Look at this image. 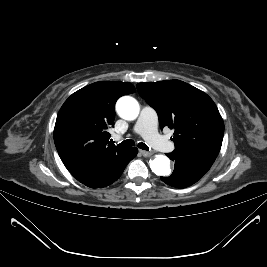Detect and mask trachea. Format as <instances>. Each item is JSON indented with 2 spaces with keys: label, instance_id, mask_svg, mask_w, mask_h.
Here are the masks:
<instances>
[{
  "label": "trachea",
  "instance_id": "3493384b",
  "mask_svg": "<svg viewBox=\"0 0 267 267\" xmlns=\"http://www.w3.org/2000/svg\"><path fill=\"white\" fill-rule=\"evenodd\" d=\"M120 147H130V146H134V141L131 140V139H127V140H124L123 142H121L119 144ZM140 149H143V150H149V148L147 147V145L143 142H140L138 143L137 145Z\"/></svg>",
  "mask_w": 267,
  "mask_h": 267
}]
</instances>
